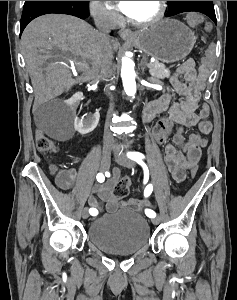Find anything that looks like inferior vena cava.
<instances>
[{
  "label": "inferior vena cava",
  "instance_id": "602c4592",
  "mask_svg": "<svg viewBox=\"0 0 237 300\" xmlns=\"http://www.w3.org/2000/svg\"><path fill=\"white\" fill-rule=\"evenodd\" d=\"M92 13L100 37V59L102 63L100 69L101 75L103 77V81H110V77H112L111 65L113 61V49L110 45L109 33H111L113 29H116L119 23V17L117 13L107 11L103 5H96V7H93ZM112 113L113 103H111L109 107L106 121L107 127L110 123ZM104 139H107V141H112V133H110L109 129H105Z\"/></svg>",
  "mask_w": 237,
  "mask_h": 300
}]
</instances>
